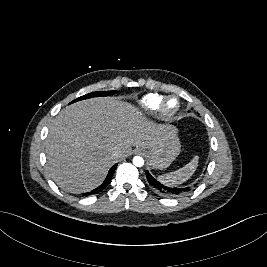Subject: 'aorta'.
Listing matches in <instances>:
<instances>
[{"instance_id":"762f6f07","label":"aorta","mask_w":267,"mask_h":267,"mask_svg":"<svg viewBox=\"0 0 267 267\" xmlns=\"http://www.w3.org/2000/svg\"><path fill=\"white\" fill-rule=\"evenodd\" d=\"M133 164L136 166V167H142L144 165V159L140 156H135L133 158Z\"/></svg>"}]
</instances>
